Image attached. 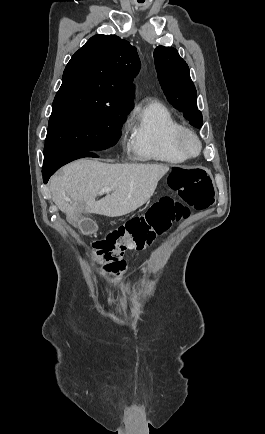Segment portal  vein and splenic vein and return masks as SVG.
Listing matches in <instances>:
<instances>
[{
  "label": "portal vein and splenic vein",
  "instance_id": "1",
  "mask_svg": "<svg viewBox=\"0 0 265 434\" xmlns=\"http://www.w3.org/2000/svg\"><path fill=\"white\" fill-rule=\"evenodd\" d=\"M103 192H110V188H102L100 194H103ZM71 202V200H69Z\"/></svg>",
  "mask_w": 265,
  "mask_h": 434
}]
</instances>
